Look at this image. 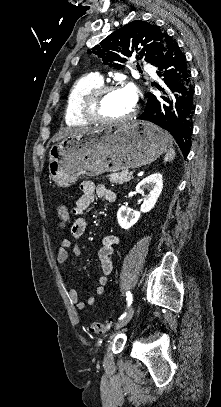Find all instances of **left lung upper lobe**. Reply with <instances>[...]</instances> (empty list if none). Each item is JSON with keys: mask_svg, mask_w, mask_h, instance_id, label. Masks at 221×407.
I'll use <instances>...</instances> for the list:
<instances>
[{"mask_svg": "<svg viewBox=\"0 0 221 407\" xmlns=\"http://www.w3.org/2000/svg\"><path fill=\"white\" fill-rule=\"evenodd\" d=\"M172 41L174 40L160 27L135 20L114 31L88 53H93L105 65L115 69L124 67L130 57L145 59L156 66Z\"/></svg>", "mask_w": 221, "mask_h": 407, "instance_id": "obj_1", "label": "left lung upper lobe"}]
</instances>
